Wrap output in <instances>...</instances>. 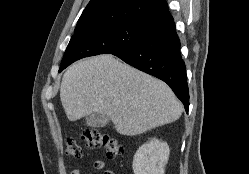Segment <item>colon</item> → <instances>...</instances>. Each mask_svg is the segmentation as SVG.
Instances as JSON below:
<instances>
[{"mask_svg": "<svg viewBox=\"0 0 249 174\" xmlns=\"http://www.w3.org/2000/svg\"><path fill=\"white\" fill-rule=\"evenodd\" d=\"M79 139L84 143L86 149L104 148L109 158H114L123 152L120 141L97 128H88L82 131ZM67 156L79 158L82 156L83 148L75 138H68L65 147Z\"/></svg>", "mask_w": 249, "mask_h": 174, "instance_id": "1", "label": "colon"}]
</instances>
